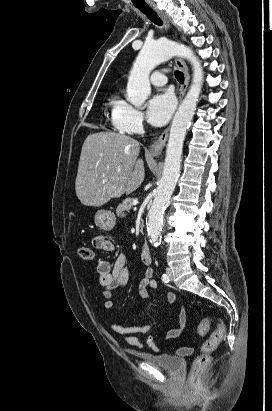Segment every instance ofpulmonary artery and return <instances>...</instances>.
Instances as JSON below:
<instances>
[{
	"label": "pulmonary artery",
	"instance_id": "e3ab8cb5",
	"mask_svg": "<svg viewBox=\"0 0 272 411\" xmlns=\"http://www.w3.org/2000/svg\"><path fill=\"white\" fill-rule=\"evenodd\" d=\"M150 81L154 86H164L167 83V77L163 72H155L151 75Z\"/></svg>",
	"mask_w": 272,
	"mask_h": 411
}]
</instances>
